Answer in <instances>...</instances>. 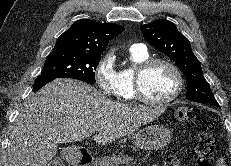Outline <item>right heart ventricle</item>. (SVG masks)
Listing matches in <instances>:
<instances>
[{
    "label": "right heart ventricle",
    "instance_id": "right-heart-ventricle-1",
    "mask_svg": "<svg viewBox=\"0 0 231 166\" xmlns=\"http://www.w3.org/2000/svg\"><path fill=\"white\" fill-rule=\"evenodd\" d=\"M129 58L132 62V66L121 68L119 71V81L121 89L120 97H122L124 100L135 99L133 84L135 67L141 62L147 60L149 58V54L147 51H140L130 47Z\"/></svg>",
    "mask_w": 231,
    "mask_h": 166
}]
</instances>
